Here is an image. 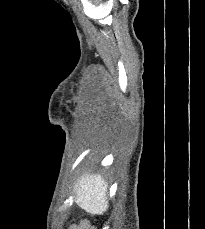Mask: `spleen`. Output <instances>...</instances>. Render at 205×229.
<instances>
[{"label": "spleen", "instance_id": "spleen-1", "mask_svg": "<svg viewBox=\"0 0 205 229\" xmlns=\"http://www.w3.org/2000/svg\"><path fill=\"white\" fill-rule=\"evenodd\" d=\"M77 205L91 214H103L108 209L107 183L97 174L82 176L73 188Z\"/></svg>", "mask_w": 205, "mask_h": 229}]
</instances>
